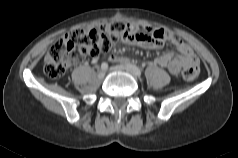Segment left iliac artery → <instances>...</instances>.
Listing matches in <instances>:
<instances>
[{"instance_id": "1", "label": "left iliac artery", "mask_w": 238, "mask_h": 158, "mask_svg": "<svg viewBox=\"0 0 238 158\" xmlns=\"http://www.w3.org/2000/svg\"><path fill=\"white\" fill-rule=\"evenodd\" d=\"M125 66H126V68H128L130 71H132V73H133L134 75H136V76H141V70H140L137 66H135V65H133V64H131V63H125Z\"/></svg>"}]
</instances>
